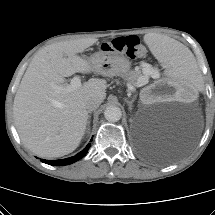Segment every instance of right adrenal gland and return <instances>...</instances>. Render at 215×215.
<instances>
[{
  "mask_svg": "<svg viewBox=\"0 0 215 215\" xmlns=\"http://www.w3.org/2000/svg\"><path fill=\"white\" fill-rule=\"evenodd\" d=\"M90 118H91V116L89 115V116H88V121H87V129H86V133H88V132H89V130H90Z\"/></svg>",
  "mask_w": 215,
  "mask_h": 215,
  "instance_id": "2a0ac1e0",
  "label": "right adrenal gland"
}]
</instances>
